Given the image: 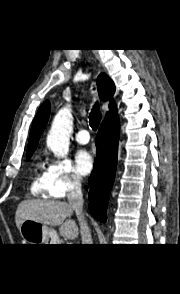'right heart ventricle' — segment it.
Wrapping results in <instances>:
<instances>
[{"mask_svg": "<svg viewBox=\"0 0 180 294\" xmlns=\"http://www.w3.org/2000/svg\"><path fill=\"white\" fill-rule=\"evenodd\" d=\"M46 168L43 162L37 158L31 177L30 193L33 196H44L47 193L46 187Z\"/></svg>", "mask_w": 180, "mask_h": 294, "instance_id": "1", "label": "right heart ventricle"}]
</instances>
